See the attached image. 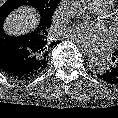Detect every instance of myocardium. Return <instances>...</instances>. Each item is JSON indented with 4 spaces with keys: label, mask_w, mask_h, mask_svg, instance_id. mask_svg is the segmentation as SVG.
Listing matches in <instances>:
<instances>
[{
    "label": "myocardium",
    "mask_w": 118,
    "mask_h": 118,
    "mask_svg": "<svg viewBox=\"0 0 118 118\" xmlns=\"http://www.w3.org/2000/svg\"><path fill=\"white\" fill-rule=\"evenodd\" d=\"M108 24L113 34L114 40L118 42V12H112L108 16Z\"/></svg>",
    "instance_id": "myocardium-1"
}]
</instances>
